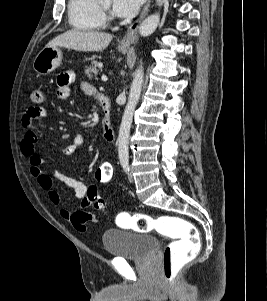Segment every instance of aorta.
Returning a JSON list of instances; mask_svg holds the SVG:
<instances>
[{
	"instance_id": "aorta-1",
	"label": "aorta",
	"mask_w": 267,
	"mask_h": 301,
	"mask_svg": "<svg viewBox=\"0 0 267 301\" xmlns=\"http://www.w3.org/2000/svg\"><path fill=\"white\" fill-rule=\"evenodd\" d=\"M163 0H156L159 6L162 5ZM160 21L159 13L148 16L139 27V34L143 37L151 35L157 28ZM143 85V72L138 69L134 73L133 81L130 86L128 103L124 110L122 122L120 125L118 136V156L120 160H127L129 155V135L133 120V113L139 101Z\"/></svg>"
}]
</instances>
